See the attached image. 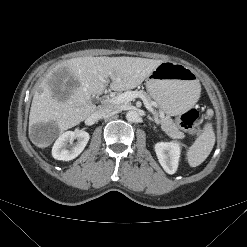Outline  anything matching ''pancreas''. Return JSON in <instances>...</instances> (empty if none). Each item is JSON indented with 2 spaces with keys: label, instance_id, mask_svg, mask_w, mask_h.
Here are the masks:
<instances>
[{
  "label": "pancreas",
  "instance_id": "cf45deb5",
  "mask_svg": "<svg viewBox=\"0 0 247 247\" xmlns=\"http://www.w3.org/2000/svg\"><path fill=\"white\" fill-rule=\"evenodd\" d=\"M144 96V98L152 105L153 101L150 96L144 91H135ZM159 117V118H158ZM158 122L161 124L163 131L173 139H182L185 137L184 133L181 132L178 126L173 122L170 116L159 115L157 116Z\"/></svg>",
  "mask_w": 247,
  "mask_h": 247
}]
</instances>
